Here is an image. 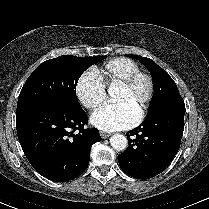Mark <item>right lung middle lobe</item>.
<instances>
[{"label": "right lung middle lobe", "mask_w": 209, "mask_h": 209, "mask_svg": "<svg viewBox=\"0 0 209 209\" xmlns=\"http://www.w3.org/2000/svg\"><path fill=\"white\" fill-rule=\"evenodd\" d=\"M105 58L106 56L80 58L65 55L40 64L20 92L16 119L47 106L80 108L76 97L77 82L87 68Z\"/></svg>", "instance_id": "right-lung-middle-lobe-1"}]
</instances>
